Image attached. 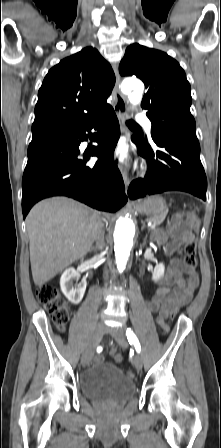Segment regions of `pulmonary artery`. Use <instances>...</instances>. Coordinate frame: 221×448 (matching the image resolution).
<instances>
[{"mask_svg": "<svg viewBox=\"0 0 221 448\" xmlns=\"http://www.w3.org/2000/svg\"><path fill=\"white\" fill-rule=\"evenodd\" d=\"M136 120L142 124H144L148 133H151L152 123L150 119L143 113H139L136 115Z\"/></svg>", "mask_w": 221, "mask_h": 448, "instance_id": "obj_1", "label": "pulmonary artery"}]
</instances>
